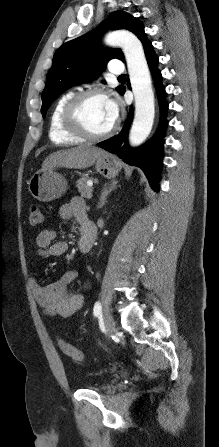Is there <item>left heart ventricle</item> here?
Listing matches in <instances>:
<instances>
[{"label":"left heart ventricle","instance_id":"obj_1","mask_svg":"<svg viewBox=\"0 0 219 447\" xmlns=\"http://www.w3.org/2000/svg\"><path fill=\"white\" fill-rule=\"evenodd\" d=\"M80 116L84 125L94 133H102L114 124L108 111L106 99H89L82 107Z\"/></svg>","mask_w":219,"mask_h":447}]
</instances>
